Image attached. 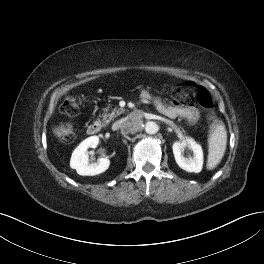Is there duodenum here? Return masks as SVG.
<instances>
[{"label": "duodenum", "instance_id": "410a0bca", "mask_svg": "<svg viewBox=\"0 0 264 264\" xmlns=\"http://www.w3.org/2000/svg\"><path fill=\"white\" fill-rule=\"evenodd\" d=\"M101 123L96 121V122H92L88 127H87V133L89 135H97L100 133L101 131Z\"/></svg>", "mask_w": 264, "mask_h": 264}]
</instances>
